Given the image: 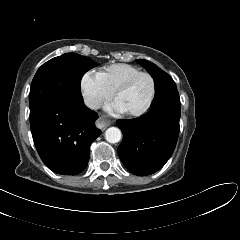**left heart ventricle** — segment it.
I'll use <instances>...</instances> for the list:
<instances>
[{
	"instance_id": "1",
	"label": "left heart ventricle",
	"mask_w": 240,
	"mask_h": 240,
	"mask_svg": "<svg viewBox=\"0 0 240 240\" xmlns=\"http://www.w3.org/2000/svg\"><path fill=\"white\" fill-rule=\"evenodd\" d=\"M152 94V82L148 76H141L133 85L122 92L117 98L127 108V111L142 109L149 101Z\"/></svg>"
}]
</instances>
